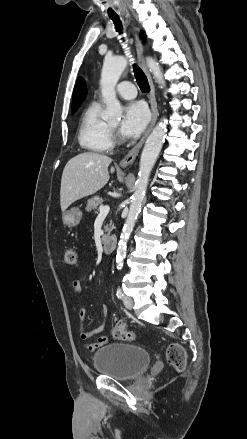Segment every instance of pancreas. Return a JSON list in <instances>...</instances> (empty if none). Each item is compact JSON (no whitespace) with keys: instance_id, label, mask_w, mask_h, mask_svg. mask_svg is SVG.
<instances>
[{"instance_id":"obj_1","label":"pancreas","mask_w":247,"mask_h":439,"mask_svg":"<svg viewBox=\"0 0 247 439\" xmlns=\"http://www.w3.org/2000/svg\"><path fill=\"white\" fill-rule=\"evenodd\" d=\"M103 203V199L100 196H94L93 198L89 199L86 204V211L93 210L96 213V210L99 208V205ZM112 230V226L110 224L109 226L105 227V231L107 232V236L110 234ZM105 237V236H104Z\"/></svg>"}]
</instances>
